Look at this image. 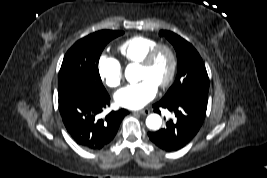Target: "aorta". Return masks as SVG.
Here are the masks:
<instances>
[{"mask_svg": "<svg viewBox=\"0 0 267 178\" xmlns=\"http://www.w3.org/2000/svg\"><path fill=\"white\" fill-rule=\"evenodd\" d=\"M125 77L129 82L137 80L136 72L133 68L128 67L125 71ZM162 119L158 114H150L146 118V126L151 130H158L161 127Z\"/></svg>", "mask_w": 267, "mask_h": 178, "instance_id": "762f6f07", "label": "aorta"}]
</instances>
